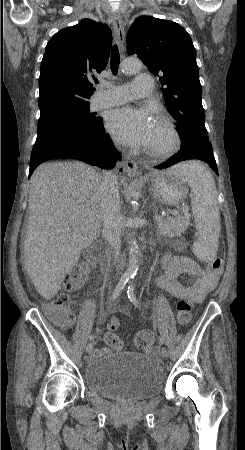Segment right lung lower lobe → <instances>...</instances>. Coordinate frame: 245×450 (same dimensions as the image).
Returning a JSON list of instances; mask_svg holds the SVG:
<instances>
[{
  "label": "right lung lower lobe",
  "instance_id": "obj_1",
  "mask_svg": "<svg viewBox=\"0 0 245 450\" xmlns=\"http://www.w3.org/2000/svg\"><path fill=\"white\" fill-rule=\"evenodd\" d=\"M60 157L82 160L103 169L113 168L117 159H121V155L115 149L110 136L104 133L100 119L97 120L95 127L87 135L65 138L38 150H33L30 159L29 178L40 163Z\"/></svg>",
  "mask_w": 245,
  "mask_h": 450
}]
</instances>
